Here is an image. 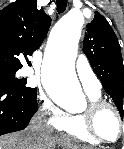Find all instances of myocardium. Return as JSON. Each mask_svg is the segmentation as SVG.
<instances>
[{"label":"myocardium","mask_w":124,"mask_h":149,"mask_svg":"<svg viewBox=\"0 0 124 149\" xmlns=\"http://www.w3.org/2000/svg\"><path fill=\"white\" fill-rule=\"evenodd\" d=\"M104 108H110L117 118L119 124V135L115 140H108L102 137L96 129V116ZM81 116L86 131L98 142L104 144H114L124 138V118L119 109L113 103L102 99L91 100L87 108L81 113Z\"/></svg>","instance_id":"obj_1"}]
</instances>
